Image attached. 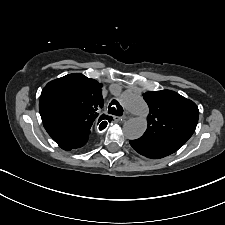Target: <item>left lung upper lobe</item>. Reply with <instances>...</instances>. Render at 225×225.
<instances>
[{"instance_id": "1", "label": "left lung upper lobe", "mask_w": 225, "mask_h": 225, "mask_svg": "<svg viewBox=\"0 0 225 225\" xmlns=\"http://www.w3.org/2000/svg\"><path fill=\"white\" fill-rule=\"evenodd\" d=\"M150 113L144 137L186 142L198 123L196 104L170 90L150 91L143 94Z\"/></svg>"}]
</instances>
